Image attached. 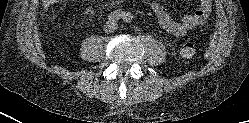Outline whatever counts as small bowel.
<instances>
[{
  "label": "small bowel",
  "mask_w": 249,
  "mask_h": 123,
  "mask_svg": "<svg viewBox=\"0 0 249 123\" xmlns=\"http://www.w3.org/2000/svg\"><path fill=\"white\" fill-rule=\"evenodd\" d=\"M66 1L70 0H45L44 2L46 6H50ZM150 7L164 30L176 37H182L205 23L212 13L213 2L212 0H200L199 8L194 13L184 15L180 20H175L169 11L158 2H151Z\"/></svg>",
  "instance_id": "c3829d8e"
}]
</instances>
